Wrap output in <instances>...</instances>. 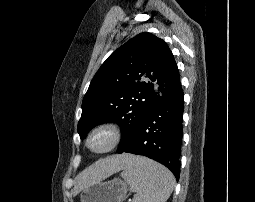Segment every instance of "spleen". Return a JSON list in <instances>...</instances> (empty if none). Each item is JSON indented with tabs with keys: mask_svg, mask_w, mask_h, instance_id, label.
<instances>
[{
	"mask_svg": "<svg viewBox=\"0 0 255 202\" xmlns=\"http://www.w3.org/2000/svg\"><path fill=\"white\" fill-rule=\"evenodd\" d=\"M121 177L136 193L132 202H166L175 186V178L166 167L145 157H134Z\"/></svg>",
	"mask_w": 255,
	"mask_h": 202,
	"instance_id": "spleen-1",
	"label": "spleen"
}]
</instances>
